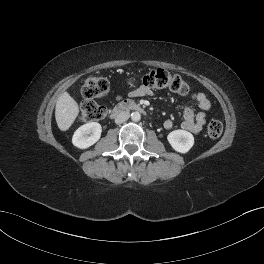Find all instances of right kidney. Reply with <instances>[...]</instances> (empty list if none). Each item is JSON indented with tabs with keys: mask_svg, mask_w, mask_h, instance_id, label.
I'll return each mask as SVG.
<instances>
[{
	"mask_svg": "<svg viewBox=\"0 0 264 264\" xmlns=\"http://www.w3.org/2000/svg\"><path fill=\"white\" fill-rule=\"evenodd\" d=\"M101 132L102 127L97 122L84 124L75 131L72 143L80 149H86L100 139Z\"/></svg>",
	"mask_w": 264,
	"mask_h": 264,
	"instance_id": "ca27d5eb",
	"label": "right kidney"
}]
</instances>
